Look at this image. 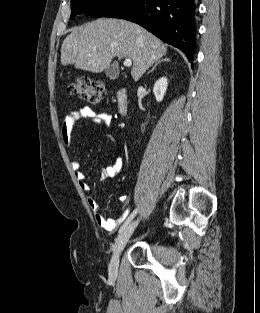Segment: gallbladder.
<instances>
[{
    "mask_svg": "<svg viewBox=\"0 0 260 313\" xmlns=\"http://www.w3.org/2000/svg\"><path fill=\"white\" fill-rule=\"evenodd\" d=\"M105 74L108 78L115 79L119 76V71L114 65H112L105 70Z\"/></svg>",
    "mask_w": 260,
    "mask_h": 313,
    "instance_id": "gallbladder-1",
    "label": "gallbladder"
}]
</instances>
